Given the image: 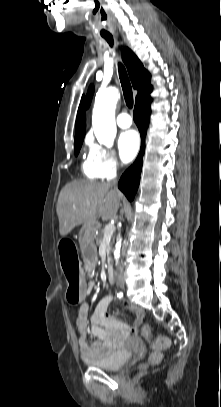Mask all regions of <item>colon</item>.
<instances>
[{"instance_id":"colon-1","label":"colon","mask_w":221,"mask_h":407,"mask_svg":"<svg viewBox=\"0 0 221 407\" xmlns=\"http://www.w3.org/2000/svg\"><path fill=\"white\" fill-rule=\"evenodd\" d=\"M59 251L62 268L69 284L66 303L68 306H80L84 299V292L74 245L69 240H63ZM142 335L154 350L148 358V364H157L162 358L161 351L170 346L169 339L154 336L148 325L143 326Z\"/></svg>"}]
</instances>
